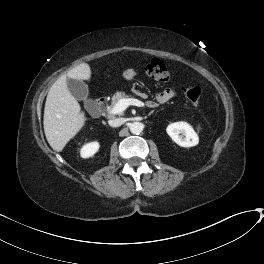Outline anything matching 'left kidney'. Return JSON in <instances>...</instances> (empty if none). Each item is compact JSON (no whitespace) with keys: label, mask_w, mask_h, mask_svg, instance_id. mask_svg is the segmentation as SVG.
Returning <instances> with one entry per match:
<instances>
[{"label":"left kidney","mask_w":264,"mask_h":264,"mask_svg":"<svg viewBox=\"0 0 264 264\" xmlns=\"http://www.w3.org/2000/svg\"><path fill=\"white\" fill-rule=\"evenodd\" d=\"M167 134L182 147L196 146L199 142L197 133L187 122H174L167 126Z\"/></svg>","instance_id":"left-kidney-1"}]
</instances>
